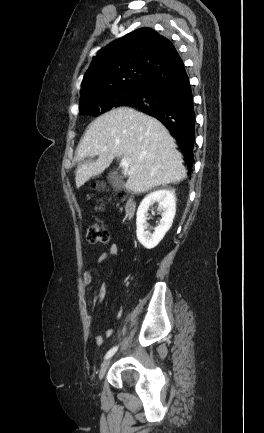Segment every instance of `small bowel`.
I'll use <instances>...</instances> for the list:
<instances>
[{
    "instance_id": "obj_1",
    "label": "small bowel",
    "mask_w": 264,
    "mask_h": 433,
    "mask_svg": "<svg viewBox=\"0 0 264 433\" xmlns=\"http://www.w3.org/2000/svg\"><path fill=\"white\" fill-rule=\"evenodd\" d=\"M119 252V248L118 245L115 243H111L109 244L108 248L100 255L98 262L99 263H103L105 262L107 259L117 255ZM83 284L84 285H90L92 283V275L89 272H85L83 274V278H82ZM106 297V286L104 283L100 284L96 295H95V300H98L100 303H102L105 300ZM118 315H121V311L118 312ZM86 322L88 324V326L92 325V316L88 315L86 318ZM113 334V330L112 329H108L105 331L104 334H98L95 337V343L96 345L100 346L103 344L104 342V337L107 336H111Z\"/></svg>"
}]
</instances>
